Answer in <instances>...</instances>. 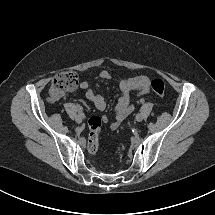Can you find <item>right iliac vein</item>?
Instances as JSON below:
<instances>
[{
    "instance_id": "63e3f726",
    "label": "right iliac vein",
    "mask_w": 215,
    "mask_h": 215,
    "mask_svg": "<svg viewBox=\"0 0 215 215\" xmlns=\"http://www.w3.org/2000/svg\"><path fill=\"white\" fill-rule=\"evenodd\" d=\"M75 121H76L78 124H80V123H82L83 119H82L81 116L77 115V116L75 117Z\"/></svg>"
}]
</instances>
